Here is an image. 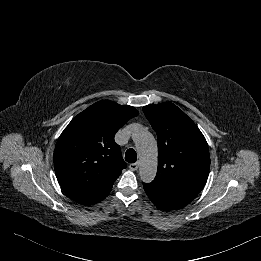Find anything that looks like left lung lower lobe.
<instances>
[{
    "instance_id": "0a47b994",
    "label": "left lung lower lobe",
    "mask_w": 261,
    "mask_h": 261,
    "mask_svg": "<svg viewBox=\"0 0 261 261\" xmlns=\"http://www.w3.org/2000/svg\"><path fill=\"white\" fill-rule=\"evenodd\" d=\"M150 200L161 210H175L188 205L196 195L177 189L160 187L155 184H144Z\"/></svg>"
}]
</instances>
